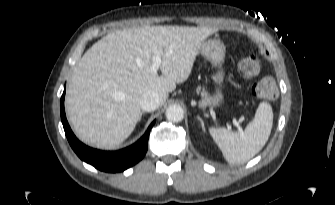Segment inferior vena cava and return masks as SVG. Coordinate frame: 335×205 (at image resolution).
<instances>
[{
	"label": "inferior vena cava",
	"instance_id": "1",
	"mask_svg": "<svg viewBox=\"0 0 335 205\" xmlns=\"http://www.w3.org/2000/svg\"><path fill=\"white\" fill-rule=\"evenodd\" d=\"M139 103L143 111H154L160 104L159 94L154 90L146 91L140 97Z\"/></svg>",
	"mask_w": 335,
	"mask_h": 205
}]
</instances>
